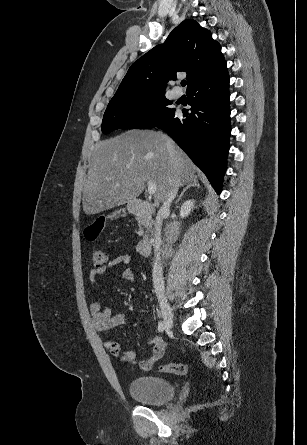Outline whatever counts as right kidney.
I'll list each match as a JSON object with an SVG mask.
<instances>
[{"label": "right kidney", "mask_w": 307, "mask_h": 445, "mask_svg": "<svg viewBox=\"0 0 307 445\" xmlns=\"http://www.w3.org/2000/svg\"><path fill=\"white\" fill-rule=\"evenodd\" d=\"M194 202L195 200H193V198L192 200H185V202H183L180 210V216H182V218H184V216H188L190 210L194 208Z\"/></svg>", "instance_id": "1"}]
</instances>
